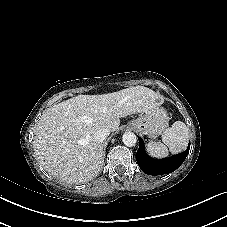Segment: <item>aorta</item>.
<instances>
[{"mask_svg": "<svg viewBox=\"0 0 227 227\" xmlns=\"http://www.w3.org/2000/svg\"><path fill=\"white\" fill-rule=\"evenodd\" d=\"M122 141L126 146L132 147L135 146L137 137L133 132H125L122 136Z\"/></svg>", "mask_w": 227, "mask_h": 227, "instance_id": "obj_1", "label": "aorta"}]
</instances>
